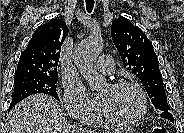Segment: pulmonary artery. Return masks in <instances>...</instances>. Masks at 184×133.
Wrapping results in <instances>:
<instances>
[{
	"instance_id": "e3ab8cb5",
	"label": "pulmonary artery",
	"mask_w": 184,
	"mask_h": 133,
	"mask_svg": "<svg viewBox=\"0 0 184 133\" xmlns=\"http://www.w3.org/2000/svg\"><path fill=\"white\" fill-rule=\"evenodd\" d=\"M97 69L104 74H111L114 71V61L109 55L100 56L97 64Z\"/></svg>"
}]
</instances>
